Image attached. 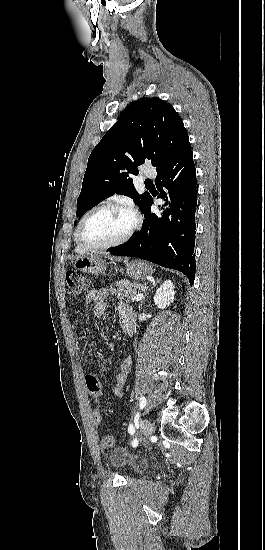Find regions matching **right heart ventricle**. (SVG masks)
I'll return each mask as SVG.
<instances>
[{
    "label": "right heart ventricle",
    "instance_id": "e07e8e85",
    "mask_svg": "<svg viewBox=\"0 0 265 550\" xmlns=\"http://www.w3.org/2000/svg\"><path fill=\"white\" fill-rule=\"evenodd\" d=\"M74 240H75V242H76V251H77L78 253H85L87 250L83 249V248L78 244L75 235H74Z\"/></svg>",
    "mask_w": 265,
    "mask_h": 550
}]
</instances>
